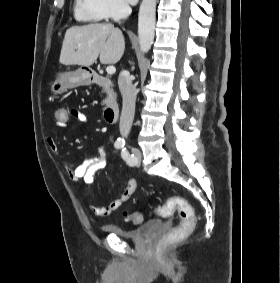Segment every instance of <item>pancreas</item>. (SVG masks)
Listing matches in <instances>:
<instances>
[{"mask_svg": "<svg viewBox=\"0 0 280 283\" xmlns=\"http://www.w3.org/2000/svg\"><path fill=\"white\" fill-rule=\"evenodd\" d=\"M103 103H104V104L106 103V99L103 101Z\"/></svg>", "mask_w": 280, "mask_h": 283, "instance_id": "cf45deb5", "label": "pancreas"}]
</instances>
